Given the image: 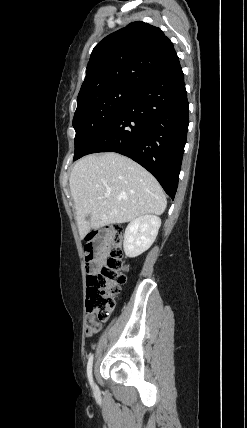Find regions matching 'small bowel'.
<instances>
[{
	"instance_id": "c3829d8e",
	"label": "small bowel",
	"mask_w": 247,
	"mask_h": 428,
	"mask_svg": "<svg viewBox=\"0 0 247 428\" xmlns=\"http://www.w3.org/2000/svg\"><path fill=\"white\" fill-rule=\"evenodd\" d=\"M101 324H98L97 325V327H96V329H95V331L94 332H92V333H89V335H91V334H93V333H96V332H98V331H100V329H101Z\"/></svg>"
}]
</instances>
